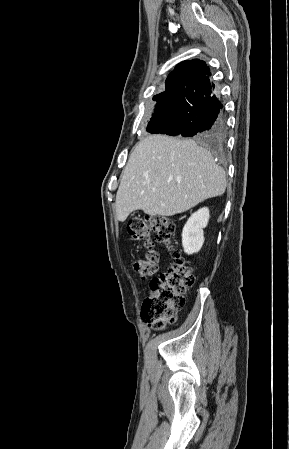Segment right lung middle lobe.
Wrapping results in <instances>:
<instances>
[{
  "label": "right lung middle lobe",
  "instance_id": "right-lung-middle-lobe-1",
  "mask_svg": "<svg viewBox=\"0 0 289 449\" xmlns=\"http://www.w3.org/2000/svg\"><path fill=\"white\" fill-rule=\"evenodd\" d=\"M157 101L152 118L150 119L147 131L158 133V131L173 119V112L167 93H160L153 97Z\"/></svg>",
  "mask_w": 289,
  "mask_h": 449
}]
</instances>
